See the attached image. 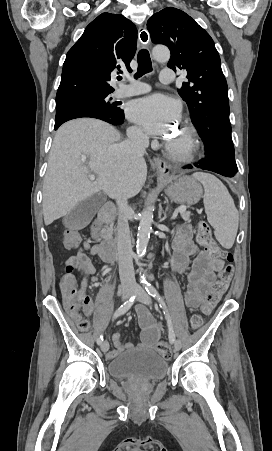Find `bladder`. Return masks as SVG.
Masks as SVG:
<instances>
[{"label": "bladder", "instance_id": "obj_1", "mask_svg": "<svg viewBox=\"0 0 272 451\" xmlns=\"http://www.w3.org/2000/svg\"><path fill=\"white\" fill-rule=\"evenodd\" d=\"M167 360L151 350L128 351L118 354L106 365L111 377L118 380L155 381L162 380L167 372Z\"/></svg>", "mask_w": 272, "mask_h": 451}]
</instances>
